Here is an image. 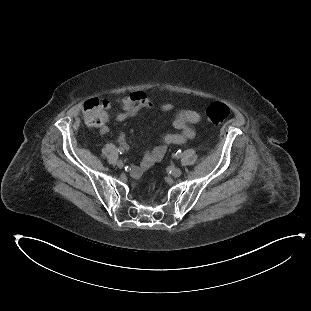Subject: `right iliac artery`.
I'll list each match as a JSON object with an SVG mask.
<instances>
[{
  "instance_id": "right-iliac-artery-1",
  "label": "right iliac artery",
  "mask_w": 311,
  "mask_h": 311,
  "mask_svg": "<svg viewBox=\"0 0 311 311\" xmlns=\"http://www.w3.org/2000/svg\"><path fill=\"white\" fill-rule=\"evenodd\" d=\"M118 152L120 153V154H123L124 152H125V150H124V148L123 147H119L118 148Z\"/></svg>"
}]
</instances>
